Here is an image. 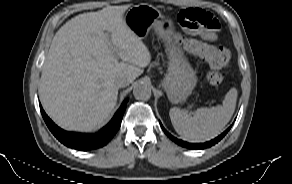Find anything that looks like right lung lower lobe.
Segmentation results:
<instances>
[{
    "instance_id": "obj_1",
    "label": "right lung lower lobe",
    "mask_w": 292,
    "mask_h": 184,
    "mask_svg": "<svg viewBox=\"0 0 292 184\" xmlns=\"http://www.w3.org/2000/svg\"><path fill=\"white\" fill-rule=\"evenodd\" d=\"M127 101L128 100H125L122 103L112 120L96 134H80L64 131L52 122V120L44 112L41 105L40 110L46 125L61 143L70 148L88 151L106 145L116 134L121 125L123 114L127 106Z\"/></svg>"
}]
</instances>
